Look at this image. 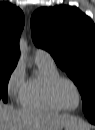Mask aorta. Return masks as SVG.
Listing matches in <instances>:
<instances>
[{
  "instance_id": "aorta-1",
  "label": "aorta",
  "mask_w": 95,
  "mask_h": 130,
  "mask_svg": "<svg viewBox=\"0 0 95 130\" xmlns=\"http://www.w3.org/2000/svg\"><path fill=\"white\" fill-rule=\"evenodd\" d=\"M19 49H20L21 58L26 59L28 55V46L24 38H21L20 40Z\"/></svg>"
}]
</instances>
